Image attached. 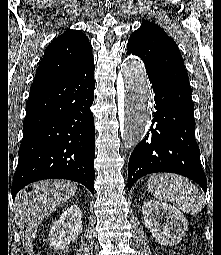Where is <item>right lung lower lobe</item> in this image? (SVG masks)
I'll return each instance as SVG.
<instances>
[{"instance_id": "98d812e1", "label": "right lung lower lobe", "mask_w": 221, "mask_h": 255, "mask_svg": "<svg viewBox=\"0 0 221 255\" xmlns=\"http://www.w3.org/2000/svg\"><path fill=\"white\" fill-rule=\"evenodd\" d=\"M94 61L62 78L32 85L11 192L31 182L73 180L94 194Z\"/></svg>"}]
</instances>
